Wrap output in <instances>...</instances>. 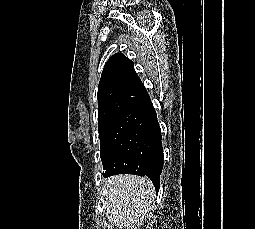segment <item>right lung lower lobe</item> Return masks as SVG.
Returning a JSON list of instances; mask_svg holds the SVG:
<instances>
[{
  "instance_id": "98d812e1",
  "label": "right lung lower lobe",
  "mask_w": 255,
  "mask_h": 229,
  "mask_svg": "<svg viewBox=\"0 0 255 229\" xmlns=\"http://www.w3.org/2000/svg\"><path fill=\"white\" fill-rule=\"evenodd\" d=\"M125 114L130 118L140 121L145 129L153 130L154 132H156L157 139L151 150L149 159L145 167H141V168L134 167L122 173L149 177L155 186L156 192L158 193L159 186H160L159 175L161 174V171H162L164 157H163L162 143H161V130L157 121L155 109L151 101H149L143 105L129 109L128 111L125 112ZM117 174H120V173H117ZM109 176H112V175H108L106 177H109Z\"/></svg>"
}]
</instances>
